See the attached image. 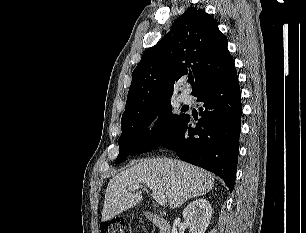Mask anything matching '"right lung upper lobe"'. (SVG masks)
Here are the masks:
<instances>
[{"mask_svg":"<svg viewBox=\"0 0 306 233\" xmlns=\"http://www.w3.org/2000/svg\"><path fill=\"white\" fill-rule=\"evenodd\" d=\"M203 9L189 8L155 46L148 48L132 73L123 116L169 100L174 83L194 75L192 95L225 79L235 69L227 38Z\"/></svg>","mask_w":306,"mask_h":233,"instance_id":"1","label":"right lung upper lobe"}]
</instances>
